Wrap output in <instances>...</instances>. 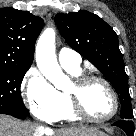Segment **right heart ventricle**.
<instances>
[{
    "instance_id": "e07e8e85",
    "label": "right heart ventricle",
    "mask_w": 136,
    "mask_h": 136,
    "mask_svg": "<svg viewBox=\"0 0 136 136\" xmlns=\"http://www.w3.org/2000/svg\"><path fill=\"white\" fill-rule=\"evenodd\" d=\"M70 75L77 77L80 75V69L74 70L70 68H64ZM58 96L60 98V108L54 118L50 121H60V120H67V121H75L78 118L73 114L72 109L70 107L69 99L67 97L66 92L57 91Z\"/></svg>"
}]
</instances>
